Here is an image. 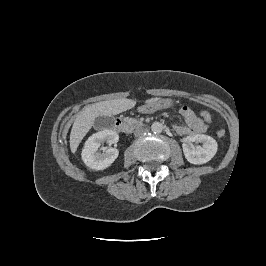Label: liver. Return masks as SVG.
<instances>
[{"instance_id": "liver-1", "label": "liver", "mask_w": 266, "mask_h": 266, "mask_svg": "<svg viewBox=\"0 0 266 266\" xmlns=\"http://www.w3.org/2000/svg\"><path fill=\"white\" fill-rule=\"evenodd\" d=\"M158 98H151L147 100V103L156 102ZM136 105V101L132 99H114L108 101H101L89 106H86L75 119L71 134H70V149L72 153H75L80 142L84 136L88 133L94 124V120L98 116H112L120 114L133 108Z\"/></svg>"}]
</instances>
